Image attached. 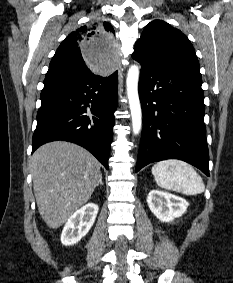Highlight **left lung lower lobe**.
Returning a JSON list of instances; mask_svg holds the SVG:
<instances>
[{"label":"left lung lower lobe","mask_w":233,"mask_h":283,"mask_svg":"<svg viewBox=\"0 0 233 283\" xmlns=\"http://www.w3.org/2000/svg\"><path fill=\"white\" fill-rule=\"evenodd\" d=\"M141 66L143 130L135 172L165 159L186 161L209 176L200 71L182 66Z\"/></svg>","instance_id":"obj_1"}]
</instances>
